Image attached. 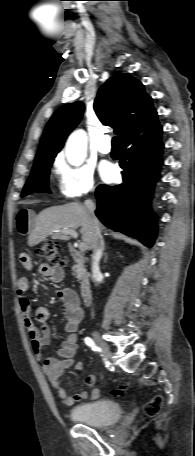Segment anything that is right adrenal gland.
I'll return each instance as SVG.
<instances>
[{"mask_svg":"<svg viewBox=\"0 0 195 456\" xmlns=\"http://www.w3.org/2000/svg\"><path fill=\"white\" fill-rule=\"evenodd\" d=\"M104 256H105V261L107 260V253H104Z\"/></svg>","mask_w":195,"mask_h":456,"instance_id":"right-adrenal-gland-1","label":"right adrenal gland"}]
</instances>
